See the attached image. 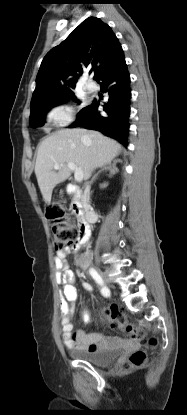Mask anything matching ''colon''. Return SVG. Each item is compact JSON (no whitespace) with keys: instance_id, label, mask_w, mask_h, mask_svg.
<instances>
[{"instance_id":"5ec220e1","label":"colon","mask_w":187,"mask_h":415,"mask_svg":"<svg viewBox=\"0 0 187 415\" xmlns=\"http://www.w3.org/2000/svg\"><path fill=\"white\" fill-rule=\"evenodd\" d=\"M47 214L51 223L55 250L63 251L75 246L81 238V232L79 225L71 218L67 209L61 205H55L48 210ZM104 315L110 327L119 329L132 340L140 342L144 347L155 349L158 346L156 337L147 336L141 327L127 321L126 317L116 307L105 309ZM145 360L146 353L143 350H136L129 356L124 365V370L139 367L144 364Z\"/></svg>"}]
</instances>
